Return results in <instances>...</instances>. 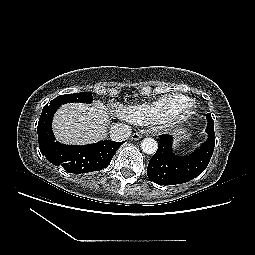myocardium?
<instances>
[{
  "mask_svg": "<svg viewBox=\"0 0 255 255\" xmlns=\"http://www.w3.org/2000/svg\"><path fill=\"white\" fill-rule=\"evenodd\" d=\"M193 112V103L187 105H173L158 123L168 127H179L186 124L191 119Z\"/></svg>",
  "mask_w": 255,
  "mask_h": 255,
  "instance_id": "myocardium-1",
  "label": "myocardium"
}]
</instances>
